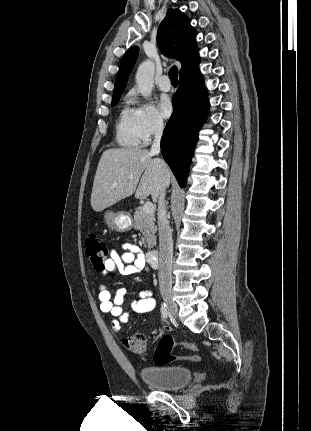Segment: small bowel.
Returning <instances> with one entry per match:
<instances>
[{
  "instance_id": "obj_1",
  "label": "small bowel",
  "mask_w": 311,
  "mask_h": 431,
  "mask_svg": "<svg viewBox=\"0 0 311 431\" xmlns=\"http://www.w3.org/2000/svg\"><path fill=\"white\" fill-rule=\"evenodd\" d=\"M123 253L112 251L105 261L104 269L101 272L104 276L119 272L124 275L138 273L145 269L146 260L139 248L130 244H123ZM127 290L120 288L113 297L108 288L102 284L98 294L100 310L109 313L114 317L112 327L116 332L120 331L121 325L127 323L133 314H143L151 312L156 307V300L151 290H142L138 297L131 302L130 310L124 311L122 308Z\"/></svg>"
}]
</instances>
